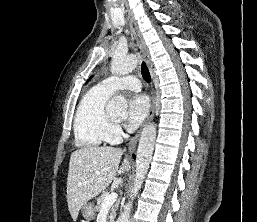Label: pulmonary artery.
Masks as SVG:
<instances>
[{"instance_id":"pulmonary-artery-1","label":"pulmonary artery","mask_w":257,"mask_h":222,"mask_svg":"<svg viewBox=\"0 0 257 222\" xmlns=\"http://www.w3.org/2000/svg\"><path fill=\"white\" fill-rule=\"evenodd\" d=\"M99 87L110 94L118 90H141L140 81L134 76L109 77L101 81Z\"/></svg>"}]
</instances>
